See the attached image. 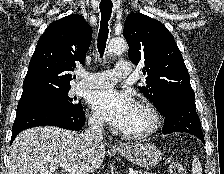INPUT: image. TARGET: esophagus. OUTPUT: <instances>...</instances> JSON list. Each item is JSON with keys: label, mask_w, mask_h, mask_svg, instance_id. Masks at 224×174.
<instances>
[{"label": "esophagus", "mask_w": 224, "mask_h": 174, "mask_svg": "<svg viewBox=\"0 0 224 174\" xmlns=\"http://www.w3.org/2000/svg\"><path fill=\"white\" fill-rule=\"evenodd\" d=\"M114 147L117 148V149L125 148V146L121 143L120 144H115Z\"/></svg>", "instance_id": "esophagus-1"}]
</instances>
